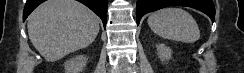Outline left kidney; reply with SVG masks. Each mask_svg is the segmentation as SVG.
Listing matches in <instances>:
<instances>
[{
  "instance_id": "5707ae66",
  "label": "left kidney",
  "mask_w": 244,
  "mask_h": 73,
  "mask_svg": "<svg viewBox=\"0 0 244 73\" xmlns=\"http://www.w3.org/2000/svg\"><path fill=\"white\" fill-rule=\"evenodd\" d=\"M157 54L161 61H168L172 57V51L169 47L164 44L158 43L156 45Z\"/></svg>"
}]
</instances>
